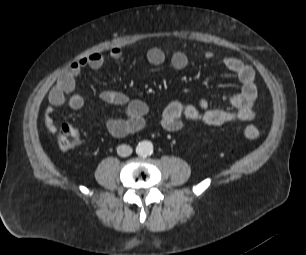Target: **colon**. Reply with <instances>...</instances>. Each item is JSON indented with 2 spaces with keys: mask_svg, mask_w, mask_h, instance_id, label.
<instances>
[{
  "mask_svg": "<svg viewBox=\"0 0 306 255\" xmlns=\"http://www.w3.org/2000/svg\"><path fill=\"white\" fill-rule=\"evenodd\" d=\"M244 134L249 139H256L260 132L259 129L254 125H248L244 129ZM80 141L79 131L69 124H64L61 126L57 143L62 151H68L73 149Z\"/></svg>",
  "mask_w": 306,
  "mask_h": 255,
  "instance_id": "obj_1",
  "label": "colon"
}]
</instances>
